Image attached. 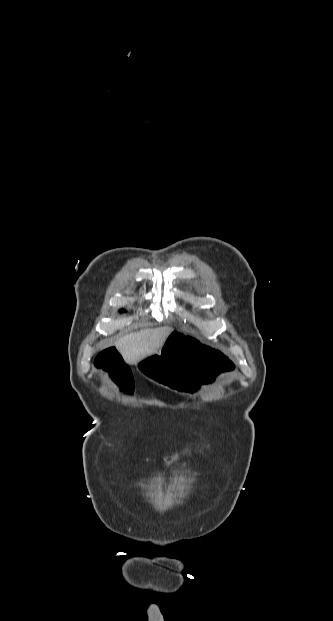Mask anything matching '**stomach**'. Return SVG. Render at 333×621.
Here are the masks:
<instances>
[{
    "label": "stomach",
    "mask_w": 333,
    "mask_h": 621,
    "mask_svg": "<svg viewBox=\"0 0 333 621\" xmlns=\"http://www.w3.org/2000/svg\"><path fill=\"white\" fill-rule=\"evenodd\" d=\"M225 360L214 341L172 331L161 349L149 350L136 368L148 374L152 384L163 385L171 393L182 391L187 395L190 385H206L211 389L222 378ZM194 394L204 396V387H195Z\"/></svg>",
    "instance_id": "1"
}]
</instances>
